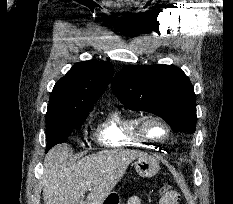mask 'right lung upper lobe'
I'll return each instance as SVG.
<instances>
[{
  "mask_svg": "<svg viewBox=\"0 0 233 204\" xmlns=\"http://www.w3.org/2000/svg\"><path fill=\"white\" fill-rule=\"evenodd\" d=\"M113 74L112 64L89 60L76 63L54 86L46 122L90 111Z\"/></svg>",
  "mask_w": 233,
  "mask_h": 204,
  "instance_id": "cb5924a9",
  "label": "right lung upper lobe"
}]
</instances>
